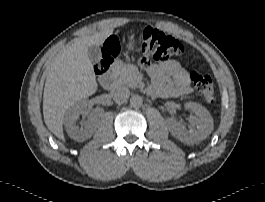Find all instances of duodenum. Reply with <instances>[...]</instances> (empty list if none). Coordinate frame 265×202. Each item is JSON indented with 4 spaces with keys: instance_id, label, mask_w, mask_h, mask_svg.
Masks as SVG:
<instances>
[{
    "instance_id": "1",
    "label": "duodenum",
    "mask_w": 265,
    "mask_h": 202,
    "mask_svg": "<svg viewBox=\"0 0 265 202\" xmlns=\"http://www.w3.org/2000/svg\"><path fill=\"white\" fill-rule=\"evenodd\" d=\"M115 84V76L113 73L109 72L103 76L100 80V85L104 89H111Z\"/></svg>"
}]
</instances>
